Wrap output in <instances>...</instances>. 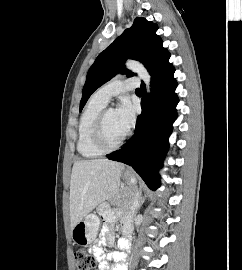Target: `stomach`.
Wrapping results in <instances>:
<instances>
[{
    "mask_svg": "<svg viewBox=\"0 0 242 270\" xmlns=\"http://www.w3.org/2000/svg\"><path fill=\"white\" fill-rule=\"evenodd\" d=\"M123 178L127 185L130 186L132 192L135 191L137 183L136 177L129 172H125ZM100 219L95 214L86 215L71 230V238L75 244L88 245L91 244L98 233Z\"/></svg>",
    "mask_w": 242,
    "mask_h": 270,
    "instance_id": "stomach-1",
    "label": "stomach"
}]
</instances>
